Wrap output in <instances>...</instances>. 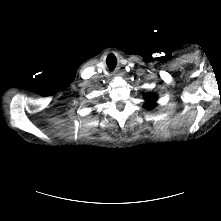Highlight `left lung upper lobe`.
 Masks as SVG:
<instances>
[{
  "label": "left lung upper lobe",
  "mask_w": 221,
  "mask_h": 221,
  "mask_svg": "<svg viewBox=\"0 0 221 221\" xmlns=\"http://www.w3.org/2000/svg\"><path fill=\"white\" fill-rule=\"evenodd\" d=\"M144 100L146 101V103L144 104V106L152 108V107L155 105L156 95L146 94V95L144 96Z\"/></svg>",
  "instance_id": "obj_1"
}]
</instances>
